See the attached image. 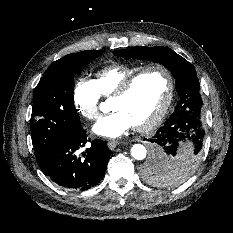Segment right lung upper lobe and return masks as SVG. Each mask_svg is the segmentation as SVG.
<instances>
[{
    "label": "right lung upper lobe",
    "mask_w": 233,
    "mask_h": 233,
    "mask_svg": "<svg viewBox=\"0 0 233 233\" xmlns=\"http://www.w3.org/2000/svg\"><path fill=\"white\" fill-rule=\"evenodd\" d=\"M64 58H66V56L62 57L61 59L55 61L54 63H52L51 65H58Z\"/></svg>",
    "instance_id": "right-lung-upper-lobe-1"
}]
</instances>
